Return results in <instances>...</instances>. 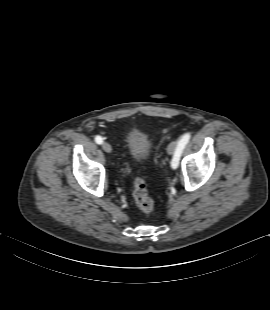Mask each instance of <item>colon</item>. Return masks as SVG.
<instances>
[{"label": "colon", "mask_w": 270, "mask_h": 310, "mask_svg": "<svg viewBox=\"0 0 270 310\" xmlns=\"http://www.w3.org/2000/svg\"><path fill=\"white\" fill-rule=\"evenodd\" d=\"M133 197L137 207L141 211L145 213H150L153 211L154 202L149 195L147 183L143 178L135 179Z\"/></svg>", "instance_id": "5ec220e1"}]
</instances>
